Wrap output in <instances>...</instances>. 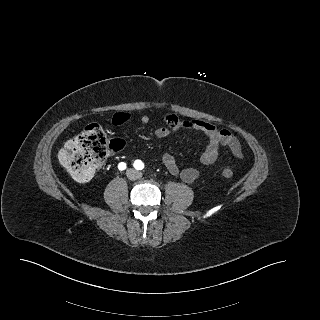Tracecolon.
I'll return each instance as SVG.
<instances>
[{
  "instance_id": "1",
  "label": "colon",
  "mask_w": 320,
  "mask_h": 320,
  "mask_svg": "<svg viewBox=\"0 0 320 320\" xmlns=\"http://www.w3.org/2000/svg\"><path fill=\"white\" fill-rule=\"evenodd\" d=\"M123 146V141L109 139L101 125L92 123L63 146L58 158L75 180L84 182L92 178L109 150L120 149ZM221 175L223 178L231 179L234 173L230 168H223Z\"/></svg>"
}]
</instances>
